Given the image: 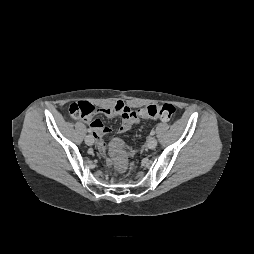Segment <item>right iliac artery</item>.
<instances>
[{"mask_svg": "<svg viewBox=\"0 0 254 254\" xmlns=\"http://www.w3.org/2000/svg\"><path fill=\"white\" fill-rule=\"evenodd\" d=\"M88 132H91V129H88Z\"/></svg>", "mask_w": 254, "mask_h": 254, "instance_id": "obj_1", "label": "right iliac artery"}]
</instances>
